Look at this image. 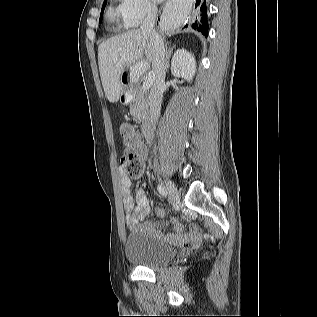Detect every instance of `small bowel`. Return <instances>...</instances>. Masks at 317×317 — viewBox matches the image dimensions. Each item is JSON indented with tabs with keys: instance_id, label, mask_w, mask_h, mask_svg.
I'll use <instances>...</instances> for the list:
<instances>
[{
	"instance_id": "c3829d8e",
	"label": "small bowel",
	"mask_w": 317,
	"mask_h": 317,
	"mask_svg": "<svg viewBox=\"0 0 317 317\" xmlns=\"http://www.w3.org/2000/svg\"><path fill=\"white\" fill-rule=\"evenodd\" d=\"M142 161L146 158L147 151L143 145L140 144ZM120 184L121 193L123 196V207L126 215V223L129 228L148 233L153 238L164 239L174 243L195 244L200 241L202 237L201 229L196 224H191L189 230L185 231L184 226L179 223L175 218L171 219L173 231L164 233L163 230L155 227L151 222L140 224L150 214L149 200L144 193L143 189H138L135 195V202L131 196L132 181L127 175L124 168L120 169ZM156 214L163 215L161 209H156Z\"/></svg>"
}]
</instances>
